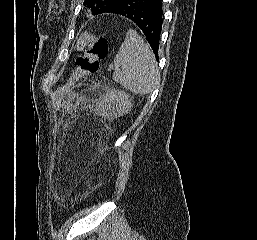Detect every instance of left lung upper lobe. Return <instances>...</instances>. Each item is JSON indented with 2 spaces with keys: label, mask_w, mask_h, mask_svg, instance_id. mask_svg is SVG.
Instances as JSON below:
<instances>
[{
  "label": "left lung upper lobe",
  "mask_w": 257,
  "mask_h": 240,
  "mask_svg": "<svg viewBox=\"0 0 257 240\" xmlns=\"http://www.w3.org/2000/svg\"><path fill=\"white\" fill-rule=\"evenodd\" d=\"M121 0H85L84 5L91 9L92 15H99L115 6Z\"/></svg>",
  "instance_id": "left-lung-upper-lobe-1"
}]
</instances>
